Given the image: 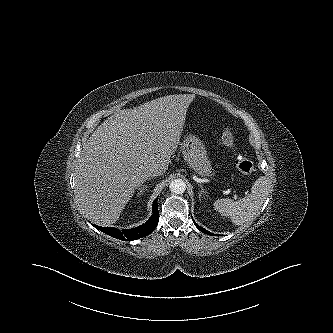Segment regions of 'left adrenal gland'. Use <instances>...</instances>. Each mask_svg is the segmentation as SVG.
I'll use <instances>...</instances> for the list:
<instances>
[{"label":"left adrenal gland","mask_w":333,"mask_h":333,"mask_svg":"<svg viewBox=\"0 0 333 333\" xmlns=\"http://www.w3.org/2000/svg\"><path fill=\"white\" fill-rule=\"evenodd\" d=\"M199 187H200V194H199V196H201V194H204V193H207V190H205L204 188H203V185H199ZM200 198V197H199Z\"/></svg>","instance_id":"left-adrenal-gland-1"}]
</instances>
